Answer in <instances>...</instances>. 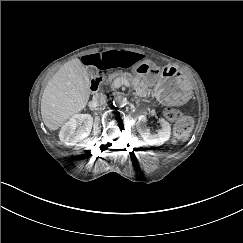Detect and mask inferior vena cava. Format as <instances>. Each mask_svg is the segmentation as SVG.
<instances>
[{
	"instance_id": "1",
	"label": "inferior vena cava",
	"mask_w": 243,
	"mask_h": 243,
	"mask_svg": "<svg viewBox=\"0 0 243 243\" xmlns=\"http://www.w3.org/2000/svg\"><path fill=\"white\" fill-rule=\"evenodd\" d=\"M106 95L103 93H97L93 96V102L97 105H104L106 103Z\"/></svg>"
}]
</instances>
